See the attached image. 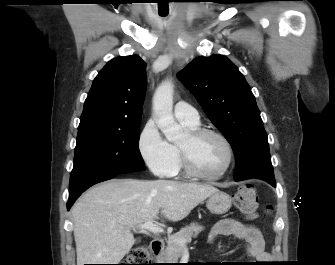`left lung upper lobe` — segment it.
<instances>
[{
  "instance_id": "5c2ea615",
  "label": "left lung upper lobe",
  "mask_w": 335,
  "mask_h": 265,
  "mask_svg": "<svg viewBox=\"0 0 335 265\" xmlns=\"http://www.w3.org/2000/svg\"><path fill=\"white\" fill-rule=\"evenodd\" d=\"M236 156L235 178L274 179L267 134L251 88L225 56L198 57L178 72Z\"/></svg>"
}]
</instances>
